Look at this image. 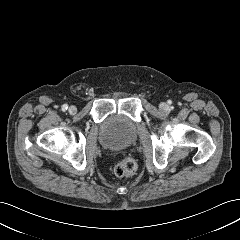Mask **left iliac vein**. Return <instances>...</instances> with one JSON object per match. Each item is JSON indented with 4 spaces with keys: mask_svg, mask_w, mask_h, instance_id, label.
<instances>
[{
    "mask_svg": "<svg viewBox=\"0 0 240 240\" xmlns=\"http://www.w3.org/2000/svg\"><path fill=\"white\" fill-rule=\"evenodd\" d=\"M166 107H167V105H166L165 103H161V104H160V108H161L162 110H165Z\"/></svg>",
    "mask_w": 240,
    "mask_h": 240,
    "instance_id": "obj_1",
    "label": "left iliac vein"
}]
</instances>
